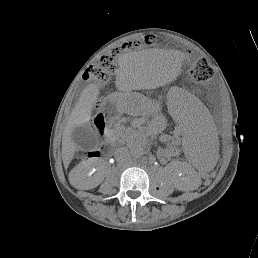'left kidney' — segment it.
<instances>
[{
    "label": "left kidney",
    "mask_w": 258,
    "mask_h": 258,
    "mask_svg": "<svg viewBox=\"0 0 258 258\" xmlns=\"http://www.w3.org/2000/svg\"><path fill=\"white\" fill-rule=\"evenodd\" d=\"M175 187L180 191H192L195 188L194 184V173L190 172L187 166H184L182 178L180 177L176 183Z\"/></svg>",
    "instance_id": "1"
}]
</instances>
